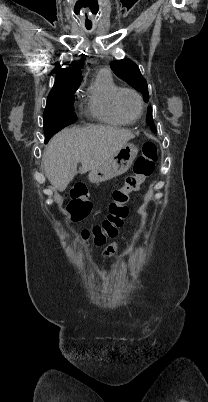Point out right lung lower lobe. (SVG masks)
<instances>
[{
  "mask_svg": "<svg viewBox=\"0 0 208 402\" xmlns=\"http://www.w3.org/2000/svg\"><path fill=\"white\" fill-rule=\"evenodd\" d=\"M68 125L62 123L61 121H51L44 123L45 140L48 142L49 139L62 128Z\"/></svg>",
  "mask_w": 208,
  "mask_h": 402,
  "instance_id": "1",
  "label": "right lung lower lobe"
}]
</instances>
